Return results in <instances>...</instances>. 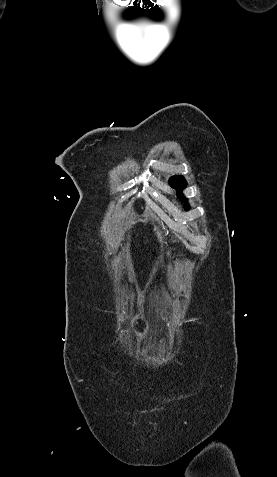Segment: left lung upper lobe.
I'll list each match as a JSON object with an SVG mask.
<instances>
[{
    "label": "left lung upper lobe",
    "mask_w": 277,
    "mask_h": 477,
    "mask_svg": "<svg viewBox=\"0 0 277 477\" xmlns=\"http://www.w3.org/2000/svg\"><path fill=\"white\" fill-rule=\"evenodd\" d=\"M169 184L173 187V188H177V191H178V194H179V198L181 201L185 202V209H189V206L187 204V199L182 196L181 194V191L185 188V186L187 185L185 179L183 176H173L170 178L169 180Z\"/></svg>",
    "instance_id": "left-lung-upper-lobe-1"
}]
</instances>
